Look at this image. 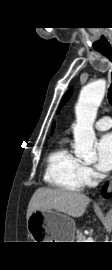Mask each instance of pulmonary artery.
Wrapping results in <instances>:
<instances>
[{
    "mask_svg": "<svg viewBox=\"0 0 112 270\" xmlns=\"http://www.w3.org/2000/svg\"><path fill=\"white\" fill-rule=\"evenodd\" d=\"M95 127L98 130H108L112 127V119L108 116H104L95 122Z\"/></svg>",
    "mask_w": 112,
    "mask_h": 270,
    "instance_id": "e3ab8cb5",
    "label": "pulmonary artery"
}]
</instances>
